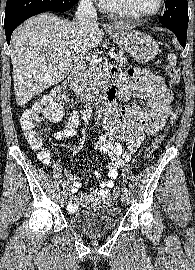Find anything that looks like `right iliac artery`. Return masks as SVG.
I'll use <instances>...</instances> for the list:
<instances>
[{
	"label": "right iliac artery",
	"mask_w": 195,
	"mask_h": 270,
	"mask_svg": "<svg viewBox=\"0 0 195 270\" xmlns=\"http://www.w3.org/2000/svg\"><path fill=\"white\" fill-rule=\"evenodd\" d=\"M65 185H66V184H65V183H63V189H65Z\"/></svg>",
	"instance_id": "right-iliac-artery-1"
}]
</instances>
